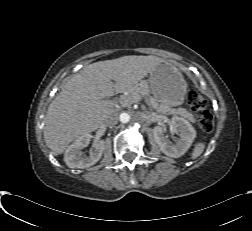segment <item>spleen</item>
Returning <instances> with one entry per match:
<instances>
[{
	"instance_id": "3e777b00",
	"label": "spleen",
	"mask_w": 252,
	"mask_h": 231,
	"mask_svg": "<svg viewBox=\"0 0 252 231\" xmlns=\"http://www.w3.org/2000/svg\"><path fill=\"white\" fill-rule=\"evenodd\" d=\"M205 144L204 143H197L193 149V152L191 154L192 159L198 158L204 151Z\"/></svg>"
}]
</instances>
